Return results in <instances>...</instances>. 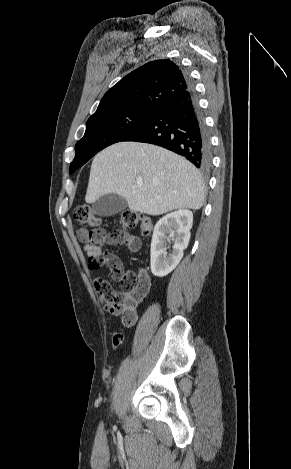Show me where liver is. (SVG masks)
I'll return each mask as SVG.
<instances>
[{
  "label": "liver",
  "instance_id": "liver-1",
  "mask_svg": "<svg viewBox=\"0 0 291 469\" xmlns=\"http://www.w3.org/2000/svg\"><path fill=\"white\" fill-rule=\"evenodd\" d=\"M205 191L201 174L185 158L151 144L118 142L94 157L85 201L91 204L115 193L126 199L130 210L157 216L176 209L199 210Z\"/></svg>",
  "mask_w": 291,
  "mask_h": 469
}]
</instances>
